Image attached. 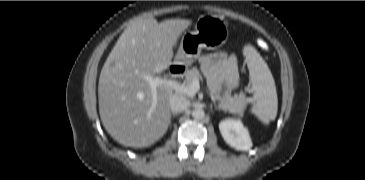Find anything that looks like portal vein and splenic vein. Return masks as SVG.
<instances>
[{"label": "portal vein and splenic vein", "instance_id": "portal-vein-and-splenic-vein-1", "mask_svg": "<svg viewBox=\"0 0 365 180\" xmlns=\"http://www.w3.org/2000/svg\"><path fill=\"white\" fill-rule=\"evenodd\" d=\"M144 79L148 81L150 87H151V93L153 98V104L149 110V114L152 113V111L155 108V103L157 100V86L164 85L167 86L179 93H183L189 97L195 96V94L200 89V83L199 80L195 79L192 81V83L189 86H186L184 84H181L173 79L167 78V77H153L150 75H144Z\"/></svg>", "mask_w": 365, "mask_h": 180}]
</instances>
